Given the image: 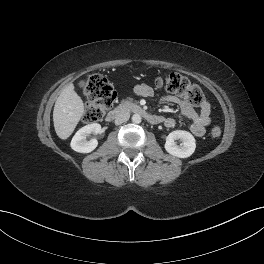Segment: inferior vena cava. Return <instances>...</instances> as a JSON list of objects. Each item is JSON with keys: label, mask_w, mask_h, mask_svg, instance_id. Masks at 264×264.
I'll use <instances>...</instances> for the list:
<instances>
[{"label": "inferior vena cava", "mask_w": 264, "mask_h": 264, "mask_svg": "<svg viewBox=\"0 0 264 264\" xmlns=\"http://www.w3.org/2000/svg\"><path fill=\"white\" fill-rule=\"evenodd\" d=\"M129 118H130L129 112H122V113L118 114L117 117L115 118V124L120 125V124L128 121Z\"/></svg>", "instance_id": "inferior-vena-cava-1"}]
</instances>
